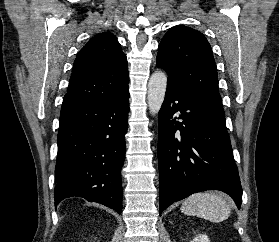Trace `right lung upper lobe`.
Masks as SVG:
<instances>
[{"label":"right lung upper lobe","mask_w":279,"mask_h":242,"mask_svg":"<svg viewBox=\"0 0 279 242\" xmlns=\"http://www.w3.org/2000/svg\"><path fill=\"white\" fill-rule=\"evenodd\" d=\"M128 82L127 58L117 38L100 33L78 53L62 108L116 96Z\"/></svg>","instance_id":"cb5924a9"}]
</instances>
